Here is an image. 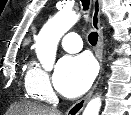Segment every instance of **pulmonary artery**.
<instances>
[{
  "label": "pulmonary artery",
  "mask_w": 131,
  "mask_h": 115,
  "mask_svg": "<svg viewBox=\"0 0 131 115\" xmlns=\"http://www.w3.org/2000/svg\"><path fill=\"white\" fill-rule=\"evenodd\" d=\"M61 45L69 53L78 52L82 48V41L77 33L70 32L63 36Z\"/></svg>",
  "instance_id": "obj_1"
}]
</instances>
